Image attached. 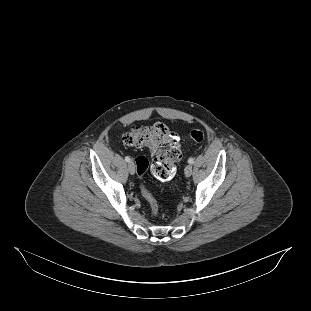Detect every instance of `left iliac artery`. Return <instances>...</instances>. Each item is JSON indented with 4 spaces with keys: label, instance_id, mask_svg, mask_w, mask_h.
Segmentation results:
<instances>
[{
    "label": "left iliac artery",
    "instance_id": "44dca946",
    "mask_svg": "<svg viewBox=\"0 0 311 311\" xmlns=\"http://www.w3.org/2000/svg\"><path fill=\"white\" fill-rule=\"evenodd\" d=\"M188 163L193 164L194 163V159L193 158H189Z\"/></svg>",
    "mask_w": 311,
    "mask_h": 311
}]
</instances>
